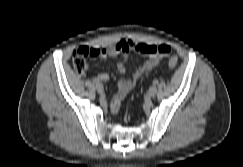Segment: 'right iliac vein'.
I'll use <instances>...</instances> for the list:
<instances>
[{
    "mask_svg": "<svg viewBox=\"0 0 243 167\" xmlns=\"http://www.w3.org/2000/svg\"><path fill=\"white\" fill-rule=\"evenodd\" d=\"M96 90H97L98 93L101 94V93H103L104 88L101 84H98V85H96Z\"/></svg>",
    "mask_w": 243,
    "mask_h": 167,
    "instance_id": "63e3f726",
    "label": "right iliac vein"
}]
</instances>
